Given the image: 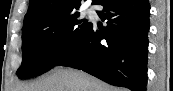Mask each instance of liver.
<instances>
[{
  "instance_id": "liver-1",
  "label": "liver",
  "mask_w": 173,
  "mask_h": 91,
  "mask_svg": "<svg viewBox=\"0 0 173 91\" xmlns=\"http://www.w3.org/2000/svg\"><path fill=\"white\" fill-rule=\"evenodd\" d=\"M17 91H126L109 86L101 80L80 70L55 68L46 76Z\"/></svg>"
}]
</instances>
